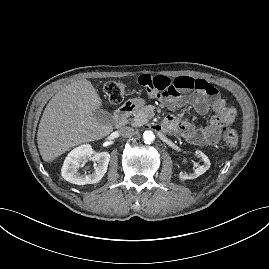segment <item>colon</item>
Masks as SVG:
<instances>
[{
    "instance_id": "obj_1",
    "label": "colon",
    "mask_w": 269,
    "mask_h": 269,
    "mask_svg": "<svg viewBox=\"0 0 269 269\" xmlns=\"http://www.w3.org/2000/svg\"><path fill=\"white\" fill-rule=\"evenodd\" d=\"M126 91V86L121 82H108L105 85L106 97L112 103L120 102L124 98ZM222 141L227 148L235 149L239 145V133L233 128L224 127L222 130Z\"/></svg>"
}]
</instances>
